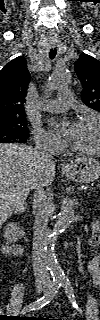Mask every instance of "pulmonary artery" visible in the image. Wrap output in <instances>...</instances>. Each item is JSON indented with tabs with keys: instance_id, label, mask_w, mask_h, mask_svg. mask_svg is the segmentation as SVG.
Instances as JSON below:
<instances>
[{
	"instance_id": "1",
	"label": "pulmonary artery",
	"mask_w": 100,
	"mask_h": 320,
	"mask_svg": "<svg viewBox=\"0 0 100 320\" xmlns=\"http://www.w3.org/2000/svg\"><path fill=\"white\" fill-rule=\"evenodd\" d=\"M58 99L46 100L41 103V107L46 111H62L73 104L72 93L69 89L59 91Z\"/></svg>"
}]
</instances>
